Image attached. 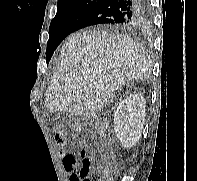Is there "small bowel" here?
Instances as JSON below:
<instances>
[{
	"instance_id": "c3829d8e",
	"label": "small bowel",
	"mask_w": 197,
	"mask_h": 181,
	"mask_svg": "<svg viewBox=\"0 0 197 181\" xmlns=\"http://www.w3.org/2000/svg\"><path fill=\"white\" fill-rule=\"evenodd\" d=\"M60 144L59 155L63 159V166L65 171L69 174V181H78V176L76 175L77 168V157L73 153H69L65 149V140L57 139ZM86 151V150H82ZM81 152V153H82Z\"/></svg>"
}]
</instances>
